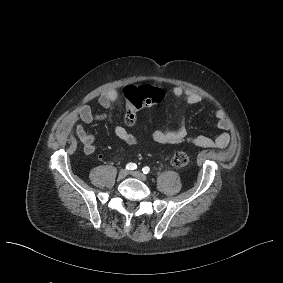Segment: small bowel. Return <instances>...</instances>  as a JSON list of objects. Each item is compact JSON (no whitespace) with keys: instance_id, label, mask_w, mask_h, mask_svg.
Segmentation results:
<instances>
[{"instance_id":"c3829d8e","label":"small bowel","mask_w":283,"mask_h":283,"mask_svg":"<svg viewBox=\"0 0 283 283\" xmlns=\"http://www.w3.org/2000/svg\"><path fill=\"white\" fill-rule=\"evenodd\" d=\"M172 93L176 98L183 100L188 105H194L201 101L200 95L184 89L181 86H174ZM117 98L118 93L115 90L104 92L100 95L98 100L103 111L95 113L89 105L84 104L76 115L67 119L66 128L74 129L78 140L83 145V151L86 155H91L95 152L96 138L93 134L86 132L79 121H82L85 124L108 121L113 124L114 133L122 143L135 145L139 142V138L135 134L128 132L123 126L117 123L114 109V104L117 101ZM214 116L216 119V126L221 131L215 139L203 135L189 136L187 128L184 125L173 131L155 130L152 133V139L155 142L164 145H177L183 142H188L194 146L203 148H225L230 141L231 123L222 109L216 110Z\"/></svg>"}]
</instances>
